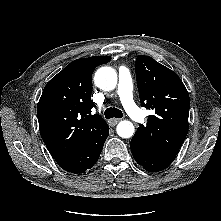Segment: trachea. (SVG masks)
<instances>
[{"mask_svg":"<svg viewBox=\"0 0 221 221\" xmlns=\"http://www.w3.org/2000/svg\"><path fill=\"white\" fill-rule=\"evenodd\" d=\"M104 115H105V118H121L123 116V113L121 110L115 108V107H110V108H107L104 112Z\"/></svg>","mask_w":221,"mask_h":221,"instance_id":"trachea-1","label":"trachea"}]
</instances>
